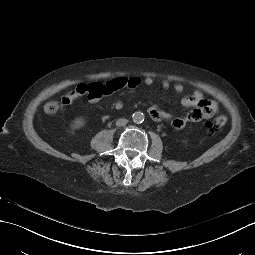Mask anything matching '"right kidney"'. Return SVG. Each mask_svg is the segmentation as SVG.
Returning <instances> with one entry per match:
<instances>
[{
    "label": "right kidney",
    "mask_w": 255,
    "mask_h": 255,
    "mask_svg": "<svg viewBox=\"0 0 255 255\" xmlns=\"http://www.w3.org/2000/svg\"><path fill=\"white\" fill-rule=\"evenodd\" d=\"M84 126V121L82 119H76L74 123L71 124L72 129H80Z\"/></svg>",
    "instance_id": "ca27d5eb"
}]
</instances>
